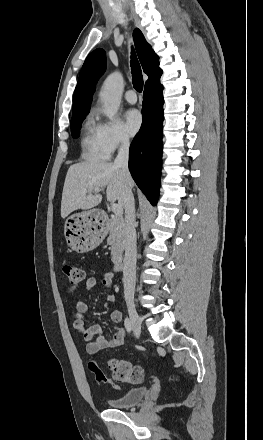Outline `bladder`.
<instances>
[{"mask_svg": "<svg viewBox=\"0 0 263 440\" xmlns=\"http://www.w3.org/2000/svg\"><path fill=\"white\" fill-rule=\"evenodd\" d=\"M147 391L145 386L134 387L128 389L121 396L109 399L108 404L113 409L131 408L145 398Z\"/></svg>", "mask_w": 263, "mask_h": 440, "instance_id": "1", "label": "bladder"}]
</instances>
